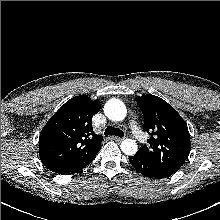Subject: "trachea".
<instances>
[{"label": "trachea", "mask_w": 220, "mask_h": 220, "mask_svg": "<svg viewBox=\"0 0 220 220\" xmlns=\"http://www.w3.org/2000/svg\"><path fill=\"white\" fill-rule=\"evenodd\" d=\"M104 135L105 136L115 135V136H118V137H123L124 136V132L122 130H120L119 128L108 126L105 129Z\"/></svg>", "instance_id": "3493384b"}]
</instances>
